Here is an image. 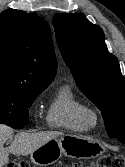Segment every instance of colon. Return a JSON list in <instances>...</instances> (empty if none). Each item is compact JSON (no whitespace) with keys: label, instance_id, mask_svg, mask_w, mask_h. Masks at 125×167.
I'll return each mask as SVG.
<instances>
[{"label":"colon","instance_id":"obj_1","mask_svg":"<svg viewBox=\"0 0 125 167\" xmlns=\"http://www.w3.org/2000/svg\"><path fill=\"white\" fill-rule=\"evenodd\" d=\"M4 167H32L26 160H18L7 163ZM71 167H125V158L119 154H106L101 156L91 165L75 163Z\"/></svg>","mask_w":125,"mask_h":167}]
</instances>
